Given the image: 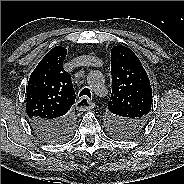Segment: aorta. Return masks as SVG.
I'll return each instance as SVG.
<instances>
[{
  "label": "aorta",
  "mask_w": 184,
  "mask_h": 184,
  "mask_svg": "<svg viewBox=\"0 0 184 184\" xmlns=\"http://www.w3.org/2000/svg\"><path fill=\"white\" fill-rule=\"evenodd\" d=\"M102 74L98 71L91 72L88 75L89 86L96 92L101 87Z\"/></svg>",
  "instance_id": "aorta-1"
}]
</instances>
